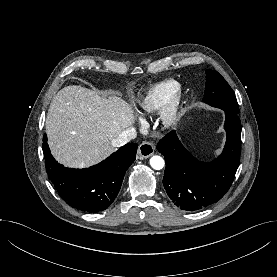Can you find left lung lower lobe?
I'll use <instances>...</instances> for the list:
<instances>
[{"instance_id":"0a47b994","label":"left lung lower lobe","mask_w":277,"mask_h":277,"mask_svg":"<svg viewBox=\"0 0 277 277\" xmlns=\"http://www.w3.org/2000/svg\"><path fill=\"white\" fill-rule=\"evenodd\" d=\"M227 133L223 153L212 162L195 158L180 142L175 131L163 137L158 151L166 161L163 185L181 210L204 209L222 198L230 188L240 161L241 122L237 113L224 110Z\"/></svg>"}]
</instances>
